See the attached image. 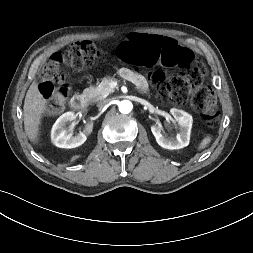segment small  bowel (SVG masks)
<instances>
[{"label": "small bowel", "instance_id": "1", "mask_svg": "<svg viewBox=\"0 0 253 253\" xmlns=\"http://www.w3.org/2000/svg\"><path fill=\"white\" fill-rule=\"evenodd\" d=\"M119 73L123 78L128 79L130 81H134L140 90L146 89L145 80L142 77H140L135 71L123 67L119 70Z\"/></svg>", "mask_w": 253, "mask_h": 253}]
</instances>
